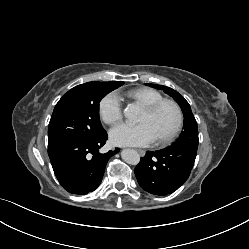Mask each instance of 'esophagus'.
I'll list each match as a JSON object with an SVG mask.
<instances>
[{
    "label": "esophagus",
    "instance_id": "34e87169",
    "mask_svg": "<svg viewBox=\"0 0 249 249\" xmlns=\"http://www.w3.org/2000/svg\"><path fill=\"white\" fill-rule=\"evenodd\" d=\"M137 152L142 156L145 154V151L142 149H137Z\"/></svg>",
    "mask_w": 249,
    "mask_h": 249
}]
</instances>
